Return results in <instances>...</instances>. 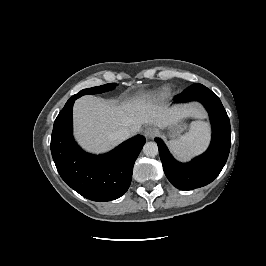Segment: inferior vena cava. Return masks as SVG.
<instances>
[{"instance_id": "602c4592", "label": "inferior vena cava", "mask_w": 266, "mask_h": 266, "mask_svg": "<svg viewBox=\"0 0 266 266\" xmlns=\"http://www.w3.org/2000/svg\"><path fill=\"white\" fill-rule=\"evenodd\" d=\"M131 134L132 132L128 128H122L119 131H117L116 136L118 139L124 140L130 137Z\"/></svg>"}]
</instances>
